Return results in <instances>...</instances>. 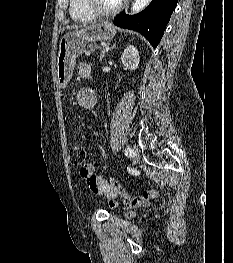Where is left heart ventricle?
<instances>
[{
  "instance_id": "1",
  "label": "left heart ventricle",
  "mask_w": 233,
  "mask_h": 263,
  "mask_svg": "<svg viewBox=\"0 0 233 263\" xmlns=\"http://www.w3.org/2000/svg\"><path fill=\"white\" fill-rule=\"evenodd\" d=\"M121 0H96L97 5L104 10L115 8Z\"/></svg>"
}]
</instances>
